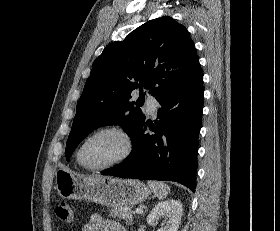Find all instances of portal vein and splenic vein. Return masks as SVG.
Listing matches in <instances>:
<instances>
[{"label": "portal vein and splenic vein", "mask_w": 280, "mask_h": 231, "mask_svg": "<svg viewBox=\"0 0 280 231\" xmlns=\"http://www.w3.org/2000/svg\"><path fill=\"white\" fill-rule=\"evenodd\" d=\"M136 211H138V213H141L142 209L140 207V209H136Z\"/></svg>", "instance_id": "1"}]
</instances>
